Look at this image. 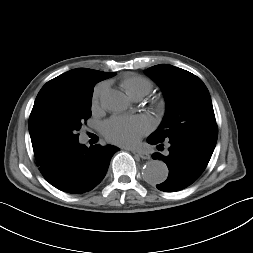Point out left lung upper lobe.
Instances as JSON below:
<instances>
[{
    "label": "left lung upper lobe",
    "instance_id": "5c2ea615",
    "mask_svg": "<svg viewBox=\"0 0 253 253\" xmlns=\"http://www.w3.org/2000/svg\"><path fill=\"white\" fill-rule=\"evenodd\" d=\"M146 73L159 84L166 99L164 119L150 138L163 142L186 136L217 141L210 94L200 78L166 64L153 66Z\"/></svg>",
    "mask_w": 253,
    "mask_h": 253
}]
</instances>
